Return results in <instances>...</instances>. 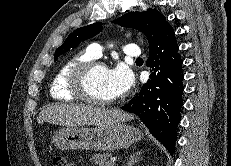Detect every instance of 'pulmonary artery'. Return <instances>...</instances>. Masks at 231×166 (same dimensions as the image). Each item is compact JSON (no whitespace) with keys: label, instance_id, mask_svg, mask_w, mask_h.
Here are the masks:
<instances>
[{"label":"pulmonary artery","instance_id":"obj_1","mask_svg":"<svg viewBox=\"0 0 231 166\" xmlns=\"http://www.w3.org/2000/svg\"><path fill=\"white\" fill-rule=\"evenodd\" d=\"M89 50L98 58L102 55L103 47L98 43H93L90 45ZM121 50L129 57L139 58L141 55L139 47L134 43L123 45Z\"/></svg>","mask_w":231,"mask_h":166}]
</instances>
